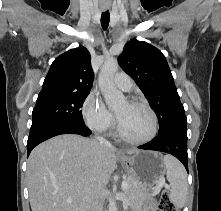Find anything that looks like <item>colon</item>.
<instances>
[{
    "mask_svg": "<svg viewBox=\"0 0 221 211\" xmlns=\"http://www.w3.org/2000/svg\"><path fill=\"white\" fill-rule=\"evenodd\" d=\"M159 211H178L168 191H163L159 202Z\"/></svg>",
    "mask_w": 221,
    "mask_h": 211,
    "instance_id": "1",
    "label": "colon"
}]
</instances>
